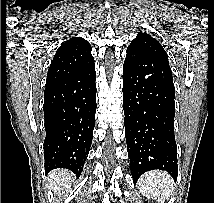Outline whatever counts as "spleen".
<instances>
[{
    "label": "spleen",
    "instance_id": "spleen-1",
    "mask_svg": "<svg viewBox=\"0 0 214 203\" xmlns=\"http://www.w3.org/2000/svg\"><path fill=\"white\" fill-rule=\"evenodd\" d=\"M138 184L143 196L160 203H165L173 190L172 178L162 171L147 172L140 178Z\"/></svg>",
    "mask_w": 214,
    "mask_h": 203
}]
</instances>
